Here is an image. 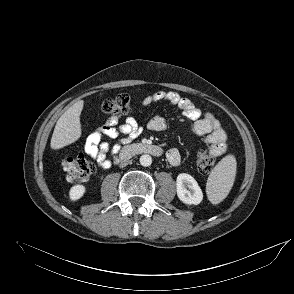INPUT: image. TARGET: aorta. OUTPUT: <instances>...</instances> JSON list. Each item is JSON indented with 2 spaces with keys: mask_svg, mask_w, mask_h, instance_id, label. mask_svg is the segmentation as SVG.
Here are the masks:
<instances>
[{
  "mask_svg": "<svg viewBox=\"0 0 294 294\" xmlns=\"http://www.w3.org/2000/svg\"><path fill=\"white\" fill-rule=\"evenodd\" d=\"M140 164L144 167H148L152 164V158L148 154H143L140 157Z\"/></svg>",
  "mask_w": 294,
  "mask_h": 294,
  "instance_id": "762f6f07",
  "label": "aorta"
}]
</instances>
